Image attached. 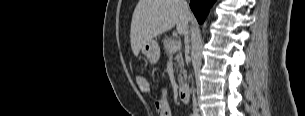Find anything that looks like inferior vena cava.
I'll list each match as a JSON object with an SVG mask.
<instances>
[{
	"mask_svg": "<svg viewBox=\"0 0 305 116\" xmlns=\"http://www.w3.org/2000/svg\"><path fill=\"white\" fill-rule=\"evenodd\" d=\"M185 7L188 9V4L185 1ZM185 42L188 44V34L187 31L185 33ZM193 112L195 116H198V108H197V102H196V98H195V90L193 89Z\"/></svg>",
	"mask_w": 305,
	"mask_h": 116,
	"instance_id": "1",
	"label": "inferior vena cava"
}]
</instances>
